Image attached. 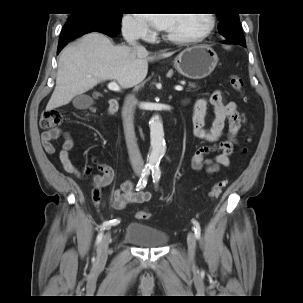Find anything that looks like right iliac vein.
I'll use <instances>...</instances> for the list:
<instances>
[{"instance_id": "right-iliac-vein-1", "label": "right iliac vein", "mask_w": 303, "mask_h": 303, "mask_svg": "<svg viewBox=\"0 0 303 303\" xmlns=\"http://www.w3.org/2000/svg\"><path fill=\"white\" fill-rule=\"evenodd\" d=\"M110 239H111V236L108 233L105 235L103 240L100 242V244L97 248V258H96L97 265H104L106 263V260L108 257Z\"/></svg>"}]
</instances>
